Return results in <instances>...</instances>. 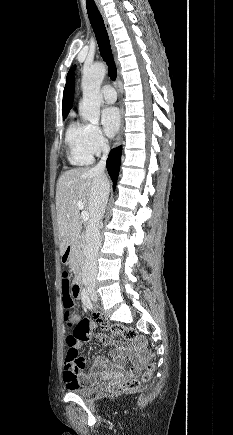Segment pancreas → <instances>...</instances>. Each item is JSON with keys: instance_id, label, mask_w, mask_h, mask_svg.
<instances>
[{"instance_id": "1", "label": "pancreas", "mask_w": 233, "mask_h": 435, "mask_svg": "<svg viewBox=\"0 0 233 435\" xmlns=\"http://www.w3.org/2000/svg\"><path fill=\"white\" fill-rule=\"evenodd\" d=\"M84 244L80 239L72 247L69 264L74 273H78L84 264Z\"/></svg>"}]
</instances>
